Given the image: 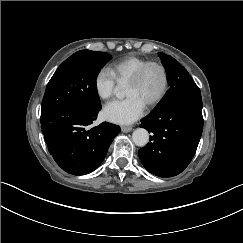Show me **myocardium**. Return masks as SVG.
<instances>
[{
	"mask_svg": "<svg viewBox=\"0 0 243 243\" xmlns=\"http://www.w3.org/2000/svg\"><path fill=\"white\" fill-rule=\"evenodd\" d=\"M152 65L158 66L162 70V72L164 74V78H165V83H164V88H163L161 94L155 100H153L152 102H150L147 105L151 108L162 103L164 101V99L166 98V96L168 95V92L170 90L171 77H170V73H169V70L166 67V65L157 60H148L144 64H142L126 82L127 84L128 83H137L141 79V77L144 74V72L146 71V69Z\"/></svg>",
	"mask_w": 243,
	"mask_h": 243,
	"instance_id": "1",
	"label": "myocardium"
}]
</instances>
